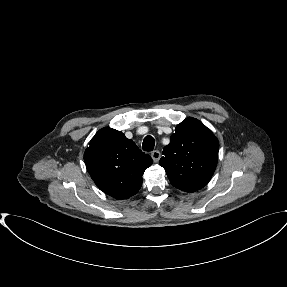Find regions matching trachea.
Instances as JSON below:
<instances>
[{
	"instance_id": "3493384b",
	"label": "trachea",
	"mask_w": 287,
	"mask_h": 287,
	"mask_svg": "<svg viewBox=\"0 0 287 287\" xmlns=\"http://www.w3.org/2000/svg\"><path fill=\"white\" fill-rule=\"evenodd\" d=\"M155 146V140L152 136H146L142 143V148L144 151H152Z\"/></svg>"
}]
</instances>
